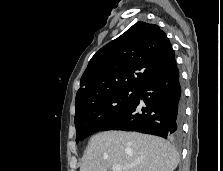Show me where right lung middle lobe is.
<instances>
[{"label": "right lung middle lobe", "mask_w": 223, "mask_h": 171, "mask_svg": "<svg viewBox=\"0 0 223 171\" xmlns=\"http://www.w3.org/2000/svg\"><path fill=\"white\" fill-rule=\"evenodd\" d=\"M136 91H119L76 109V143L116 120L134 101Z\"/></svg>", "instance_id": "right-lung-middle-lobe-1"}]
</instances>
